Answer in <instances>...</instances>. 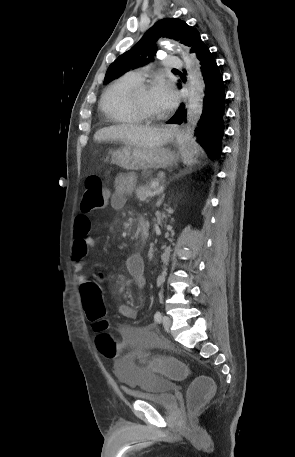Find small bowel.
Returning a JSON list of instances; mask_svg holds the SVG:
<instances>
[{
    "instance_id": "small-bowel-1",
    "label": "small bowel",
    "mask_w": 295,
    "mask_h": 457,
    "mask_svg": "<svg viewBox=\"0 0 295 457\" xmlns=\"http://www.w3.org/2000/svg\"><path fill=\"white\" fill-rule=\"evenodd\" d=\"M135 186V181L130 175H120L115 180V190L110 195V206L113 210H121L126 203V196L130 194ZM91 223L85 214H79L74 221V237L75 241L72 250V266L76 281L83 286L90 281L83 274L85 268V257L89 249L94 246L95 242L90 235ZM125 267L134 278L136 285L143 289L146 286V278L144 276V262L139 254H132L124 259ZM119 314L127 319H136L137 311L129 304H120L118 306ZM155 326L153 324L147 326H120L119 330L123 335V349L127 345L136 346L141 341L158 342L154 333ZM105 356V355H104ZM106 357V356H105Z\"/></svg>"
}]
</instances>
